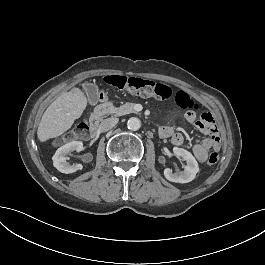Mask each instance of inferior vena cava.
<instances>
[{
	"instance_id": "inferior-vena-cava-1",
	"label": "inferior vena cava",
	"mask_w": 265,
	"mask_h": 265,
	"mask_svg": "<svg viewBox=\"0 0 265 265\" xmlns=\"http://www.w3.org/2000/svg\"><path fill=\"white\" fill-rule=\"evenodd\" d=\"M118 121H119L118 118H107V119H104L100 123L99 130L101 132L109 131L110 129H112L118 123Z\"/></svg>"
}]
</instances>
